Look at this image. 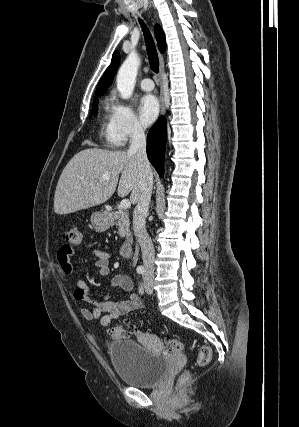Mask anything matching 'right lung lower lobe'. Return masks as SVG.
Wrapping results in <instances>:
<instances>
[{"label": "right lung lower lobe", "instance_id": "right-lung-lower-lobe-1", "mask_svg": "<svg viewBox=\"0 0 299 427\" xmlns=\"http://www.w3.org/2000/svg\"><path fill=\"white\" fill-rule=\"evenodd\" d=\"M166 145V123L164 119L156 122L147 135V156L158 174L163 177V162Z\"/></svg>", "mask_w": 299, "mask_h": 427}]
</instances>
